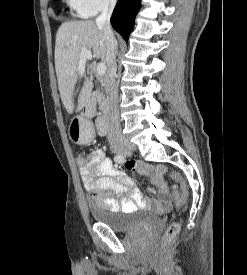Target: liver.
Listing matches in <instances>:
<instances>
[{"mask_svg":"<svg viewBox=\"0 0 247 275\" xmlns=\"http://www.w3.org/2000/svg\"><path fill=\"white\" fill-rule=\"evenodd\" d=\"M82 50L93 52V57L108 70L107 45L102 29L91 20L62 23L56 33L55 69L61 100L69 114L79 112L85 106L93 88L92 81L85 77L77 104L74 103L76 83L85 74V69L83 72L78 69Z\"/></svg>","mask_w":247,"mask_h":275,"instance_id":"liver-1","label":"liver"}]
</instances>
